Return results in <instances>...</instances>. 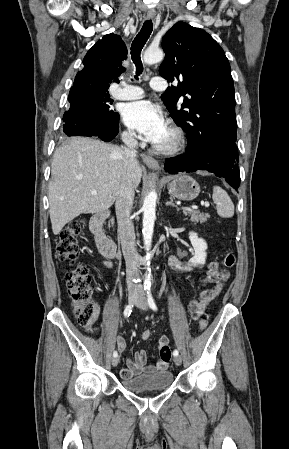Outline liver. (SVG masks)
I'll list each match as a JSON object with an SVG mask.
<instances>
[{
  "label": "liver",
  "mask_w": 289,
  "mask_h": 449,
  "mask_svg": "<svg viewBox=\"0 0 289 449\" xmlns=\"http://www.w3.org/2000/svg\"><path fill=\"white\" fill-rule=\"evenodd\" d=\"M123 168L122 149L96 139L76 137L57 148L48 186L54 235L80 214L109 209L116 200ZM141 177L142 168L136 161L132 168L134 188ZM92 190L97 194L93 195Z\"/></svg>",
  "instance_id": "6515ba94"
}]
</instances>
